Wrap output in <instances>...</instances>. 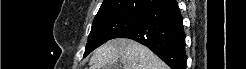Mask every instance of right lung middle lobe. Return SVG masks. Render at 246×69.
<instances>
[{
	"label": "right lung middle lobe",
	"instance_id": "obj_1",
	"mask_svg": "<svg viewBox=\"0 0 246 69\" xmlns=\"http://www.w3.org/2000/svg\"><path fill=\"white\" fill-rule=\"evenodd\" d=\"M142 14H122L93 21L84 57L108 40L117 38L126 30L140 23Z\"/></svg>",
	"mask_w": 246,
	"mask_h": 69
}]
</instances>
